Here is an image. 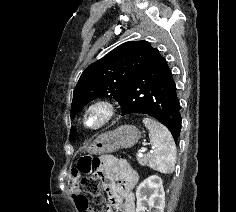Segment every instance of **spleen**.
<instances>
[{
	"label": "spleen",
	"instance_id": "spleen-1",
	"mask_svg": "<svg viewBox=\"0 0 236 212\" xmlns=\"http://www.w3.org/2000/svg\"><path fill=\"white\" fill-rule=\"evenodd\" d=\"M143 123L149 131L154 150L149 167L164 174L172 173L176 162V146L170 131L151 118H144Z\"/></svg>",
	"mask_w": 236,
	"mask_h": 212
}]
</instances>
